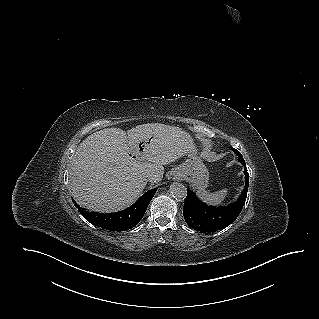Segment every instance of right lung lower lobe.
I'll return each instance as SVG.
<instances>
[{
  "mask_svg": "<svg viewBox=\"0 0 319 319\" xmlns=\"http://www.w3.org/2000/svg\"><path fill=\"white\" fill-rule=\"evenodd\" d=\"M157 188L147 191L142 195L132 206L116 213H96L89 212L83 208H80L78 204L73 200L75 206L81 215L92 224L112 231H125L136 226L143 218L146 209L153 198Z\"/></svg>",
  "mask_w": 319,
  "mask_h": 319,
  "instance_id": "1",
  "label": "right lung lower lobe"
}]
</instances>
